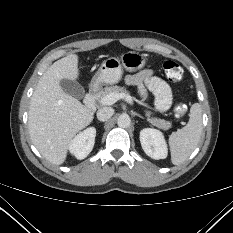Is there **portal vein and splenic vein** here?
<instances>
[{"instance_id":"portal-vein-and-splenic-vein-1","label":"portal vein and splenic vein","mask_w":233,"mask_h":233,"mask_svg":"<svg viewBox=\"0 0 233 233\" xmlns=\"http://www.w3.org/2000/svg\"><path fill=\"white\" fill-rule=\"evenodd\" d=\"M123 99L129 104H133V99L130 95L125 93H111L103 98H101L100 103L102 105H112L116 101Z\"/></svg>"}]
</instances>
